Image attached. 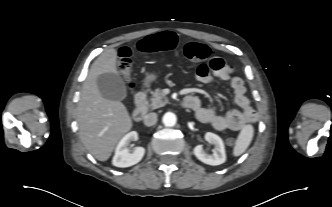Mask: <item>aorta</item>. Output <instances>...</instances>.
Instances as JSON below:
<instances>
[{
	"instance_id": "1",
	"label": "aorta",
	"mask_w": 332,
	"mask_h": 207,
	"mask_svg": "<svg viewBox=\"0 0 332 207\" xmlns=\"http://www.w3.org/2000/svg\"><path fill=\"white\" fill-rule=\"evenodd\" d=\"M176 115L172 112H167L164 114L163 116V124L166 126V127H172L176 124Z\"/></svg>"
}]
</instances>
